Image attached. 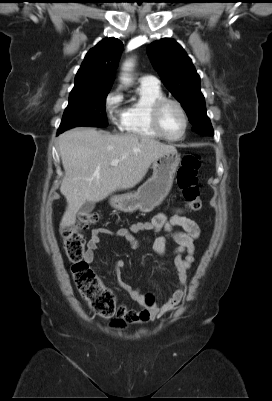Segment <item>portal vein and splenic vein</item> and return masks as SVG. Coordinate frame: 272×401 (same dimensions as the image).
<instances>
[{
    "mask_svg": "<svg viewBox=\"0 0 272 401\" xmlns=\"http://www.w3.org/2000/svg\"><path fill=\"white\" fill-rule=\"evenodd\" d=\"M119 161H120V160H118V159L113 160V161L111 162V166H117V165L119 164Z\"/></svg>",
    "mask_w": 272,
    "mask_h": 401,
    "instance_id": "portal-vein-and-splenic-vein-1",
    "label": "portal vein and splenic vein"
}]
</instances>
